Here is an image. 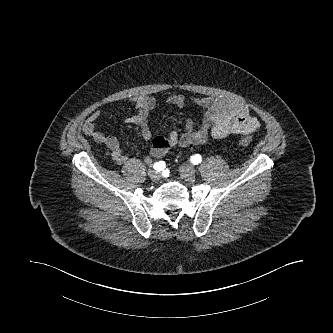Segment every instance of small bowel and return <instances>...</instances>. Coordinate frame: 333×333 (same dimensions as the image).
Instances as JSON below:
<instances>
[{
  "mask_svg": "<svg viewBox=\"0 0 333 333\" xmlns=\"http://www.w3.org/2000/svg\"><path fill=\"white\" fill-rule=\"evenodd\" d=\"M136 112L125 118V121L140 127L142 138L151 140L150 153L158 158L175 146L204 145L210 139H221L230 135H250L259 128V121L251 115L244 103L230 99L210 97H187L173 93L166 97L168 105L185 108L189 102L195 103L203 112L199 125L191 119L185 121L184 130L180 134L172 130L168 136L153 137L148 126V117L155 107L152 95H140L132 99ZM100 117L99 111L92 112L82 124V129L98 143L104 144L117 163H124L128 156L124 152V144L115 136L105 134L96 127Z\"/></svg>",
  "mask_w": 333,
  "mask_h": 333,
  "instance_id": "obj_1",
  "label": "small bowel"
}]
</instances>
